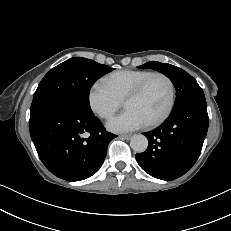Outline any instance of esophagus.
Segmentation results:
<instances>
[{"label":"esophagus","mask_w":231,"mask_h":231,"mask_svg":"<svg viewBox=\"0 0 231 231\" xmlns=\"http://www.w3.org/2000/svg\"><path fill=\"white\" fill-rule=\"evenodd\" d=\"M131 137H132L131 134H123V135H121V138H123V139H130Z\"/></svg>","instance_id":"esophagus-1"}]
</instances>
